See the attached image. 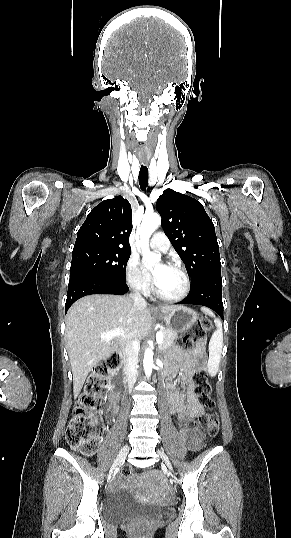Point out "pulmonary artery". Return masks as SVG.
<instances>
[{
    "label": "pulmonary artery",
    "mask_w": 291,
    "mask_h": 538,
    "mask_svg": "<svg viewBox=\"0 0 291 538\" xmlns=\"http://www.w3.org/2000/svg\"><path fill=\"white\" fill-rule=\"evenodd\" d=\"M149 245L155 250L166 252L170 247V242L163 232H157L149 241Z\"/></svg>",
    "instance_id": "obj_1"
}]
</instances>
